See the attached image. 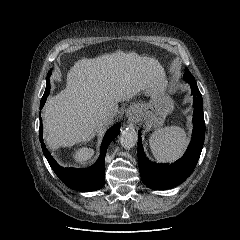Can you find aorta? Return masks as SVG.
<instances>
[{
	"label": "aorta",
	"instance_id": "obj_1",
	"mask_svg": "<svg viewBox=\"0 0 240 240\" xmlns=\"http://www.w3.org/2000/svg\"><path fill=\"white\" fill-rule=\"evenodd\" d=\"M137 139L138 134L134 129H125L120 135V143L125 149L135 146Z\"/></svg>",
	"mask_w": 240,
	"mask_h": 240
}]
</instances>
